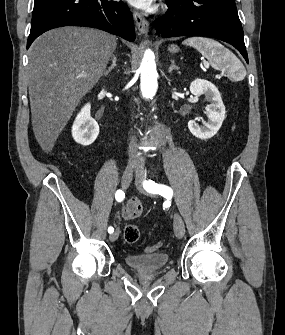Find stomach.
Returning a JSON list of instances; mask_svg holds the SVG:
<instances>
[{
	"instance_id": "1",
	"label": "stomach",
	"mask_w": 285,
	"mask_h": 335,
	"mask_svg": "<svg viewBox=\"0 0 285 335\" xmlns=\"http://www.w3.org/2000/svg\"><path fill=\"white\" fill-rule=\"evenodd\" d=\"M168 50L169 52H172V54H176V52H179V48H177V46H169Z\"/></svg>"
}]
</instances>
